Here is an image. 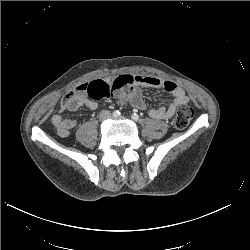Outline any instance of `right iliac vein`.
I'll return each mask as SVG.
<instances>
[{
    "label": "right iliac vein",
    "instance_id": "63e3f726",
    "mask_svg": "<svg viewBox=\"0 0 250 250\" xmlns=\"http://www.w3.org/2000/svg\"><path fill=\"white\" fill-rule=\"evenodd\" d=\"M109 117H110V113L107 112V111H103V112H101L100 115H99V120H100V121H104V120H106V119L109 118Z\"/></svg>",
    "mask_w": 250,
    "mask_h": 250
}]
</instances>
